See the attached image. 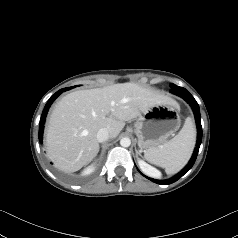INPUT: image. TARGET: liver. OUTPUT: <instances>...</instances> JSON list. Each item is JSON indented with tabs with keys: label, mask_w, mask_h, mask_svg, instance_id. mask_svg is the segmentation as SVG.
<instances>
[{
	"label": "liver",
	"mask_w": 238,
	"mask_h": 238,
	"mask_svg": "<svg viewBox=\"0 0 238 238\" xmlns=\"http://www.w3.org/2000/svg\"><path fill=\"white\" fill-rule=\"evenodd\" d=\"M156 104L176 103L158 91L135 83L78 90L54 107L46 129V151L55 166L75 172L89 164L99 151L101 128L116 138L129 121Z\"/></svg>",
	"instance_id": "liver-1"
}]
</instances>
